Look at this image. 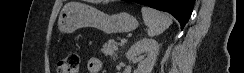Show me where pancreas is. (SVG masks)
<instances>
[{"mask_svg": "<svg viewBox=\"0 0 244 73\" xmlns=\"http://www.w3.org/2000/svg\"><path fill=\"white\" fill-rule=\"evenodd\" d=\"M119 45L122 46L123 43H117L114 40H109L103 45L101 51L106 56H114Z\"/></svg>", "mask_w": 244, "mask_h": 73, "instance_id": "pancreas-1", "label": "pancreas"}]
</instances>
